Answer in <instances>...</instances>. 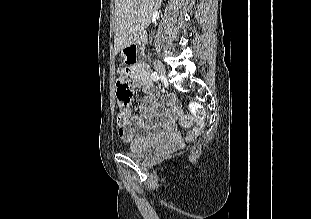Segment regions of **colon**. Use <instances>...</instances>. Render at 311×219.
Returning <instances> with one entry per match:
<instances>
[{"mask_svg": "<svg viewBox=\"0 0 311 219\" xmlns=\"http://www.w3.org/2000/svg\"><path fill=\"white\" fill-rule=\"evenodd\" d=\"M128 48L126 51L128 63H135L136 59L129 54ZM132 94H133L132 86L127 78V74L123 71V73H121V75L117 78L116 81V96L118 104L121 109H125L127 107L128 103L132 98ZM190 107L197 118L201 119L204 117V110L201 106L197 104H192Z\"/></svg>", "mask_w": 311, "mask_h": 219, "instance_id": "obj_1", "label": "colon"}]
</instances>
